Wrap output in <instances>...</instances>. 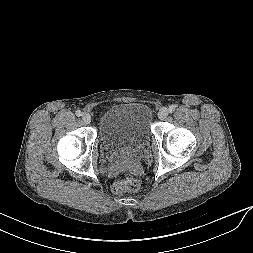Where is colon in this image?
<instances>
[{
	"label": "colon",
	"instance_id": "colon-1",
	"mask_svg": "<svg viewBox=\"0 0 253 253\" xmlns=\"http://www.w3.org/2000/svg\"><path fill=\"white\" fill-rule=\"evenodd\" d=\"M140 187V182L139 180L131 175H127L126 177L120 179L117 181L113 187L112 191L115 194H123L129 191H136Z\"/></svg>",
	"mask_w": 253,
	"mask_h": 253
}]
</instances>
